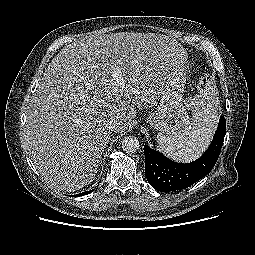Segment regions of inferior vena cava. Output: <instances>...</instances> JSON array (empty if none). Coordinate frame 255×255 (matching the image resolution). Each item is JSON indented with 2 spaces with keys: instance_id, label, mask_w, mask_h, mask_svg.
Segmentation results:
<instances>
[{
  "instance_id": "inferior-vena-cava-1",
  "label": "inferior vena cava",
  "mask_w": 255,
  "mask_h": 255,
  "mask_svg": "<svg viewBox=\"0 0 255 255\" xmlns=\"http://www.w3.org/2000/svg\"><path fill=\"white\" fill-rule=\"evenodd\" d=\"M118 126H119V122L116 119H112L108 123V128L111 131H115L118 128Z\"/></svg>"
}]
</instances>
